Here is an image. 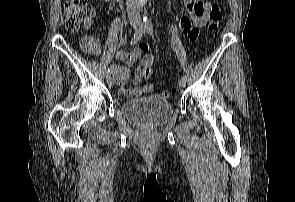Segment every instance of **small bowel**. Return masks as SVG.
Instances as JSON below:
<instances>
[{"label": "small bowel", "mask_w": 295, "mask_h": 202, "mask_svg": "<svg viewBox=\"0 0 295 202\" xmlns=\"http://www.w3.org/2000/svg\"><path fill=\"white\" fill-rule=\"evenodd\" d=\"M110 0H100V3H105ZM185 6L188 11V16L181 18L179 27L187 33L190 39L197 37L199 28L203 27L209 16L211 3L209 1L202 0H184ZM99 7L93 6L89 12V18L85 19V27L89 28L92 25L93 18L98 15ZM83 46L88 45L89 48H85V51L89 54L99 55L101 53V44L98 37L93 35L85 36L82 39ZM148 49V44L143 43L140 46L132 49L130 52L116 51L115 57L118 60L123 61L127 66L133 65L141 56V53ZM140 66V65H139ZM111 69L117 78V85L122 94L128 98H139L141 95L151 93L153 90H143V86L140 85L142 79H150V74H143L141 71H135L133 78V85L128 87L127 82L130 77L128 67H121L117 64H113Z\"/></svg>", "instance_id": "obj_1"}]
</instances>
